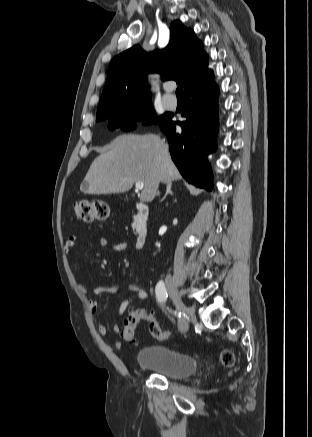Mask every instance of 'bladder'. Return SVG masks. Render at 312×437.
I'll return each instance as SVG.
<instances>
[{
	"label": "bladder",
	"mask_w": 312,
	"mask_h": 437,
	"mask_svg": "<svg viewBox=\"0 0 312 437\" xmlns=\"http://www.w3.org/2000/svg\"><path fill=\"white\" fill-rule=\"evenodd\" d=\"M137 362L141 368L172 380L186 378L197 371V361L192 355L161 345L142 348Z\"/></svg>",
	"instance_id": "31cf9c89"
}]
</instances>
